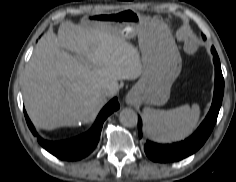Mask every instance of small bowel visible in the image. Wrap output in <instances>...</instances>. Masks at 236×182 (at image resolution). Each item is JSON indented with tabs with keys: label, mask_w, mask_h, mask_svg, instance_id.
Returning a JSON list of instances; mask_svg holds the SVG:
<instances>
[{
	"label": "small bowel",
	"mask_w": 236,
	"mask_h": 182,
	"mask_svg": "<svg viewBox=\"0 0 236 182\" xmlns=\"http://www.w3.org/2000/svg\"><path fill=\"white\" fill-rule=\"evenodd\" d=\"M188 51L192 52L195 49V46L191 43L187 44Z\"/></svg>",
	"instance_id": "small-bowel-1"
}]
</instances>
